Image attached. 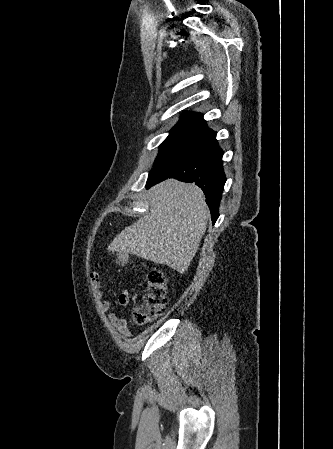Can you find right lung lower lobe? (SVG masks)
<instances>
[{"label":"right lung lower lobe","mask_w":333,"mask_h":449,"mask_svg":"<svg viewBox=\"0 0 333 449\" xmlns=\"http://www.w3.org/2000/svg\"><path fill=\"white\" fill-rule=\"evenodd\" d=\"M223 151L216 140V132L206 129L187 141L162 160L149 173L147 188L167 178L194 182L204 192L213 223L226 177L223 171Z\"/></svg>","instance_id":"98d812e1"}]
</instances>
